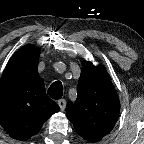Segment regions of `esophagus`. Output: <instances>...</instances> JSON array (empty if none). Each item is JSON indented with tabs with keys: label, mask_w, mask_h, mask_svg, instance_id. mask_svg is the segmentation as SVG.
<instances>
[{
	"label": "esophagus",
	"mask_w": 144,
	"mask_h": 144,
	"mask_svg": "<svg viewBox=\"0 0 144 144\" xmlns=\"http://www.w3.org/2000/svg\"><path fill=\"white\" fill-rule=\"evenodd\" d=\"M58 105H59L60 109H61L62 111H64L65 106H66V100H65V99H60V100L58 101Z\"/></svg>",
	"instance_id": "esophagus-1"
}]
</instances>
